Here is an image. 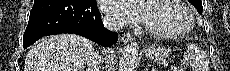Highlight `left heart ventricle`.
Listing matches in <instances>:
<instances>
[{
  "instance_id": "left-heart-ventricle-1",
  "label": "left heart ventricle",
  "mask_w": 230,
  "mask_h": 71,
  "mask_svg": "<svg viewBox=\"0 0 230 71\" xmlns=\"http://www.w3.org/2000/svg\"><path fill=\"white\" fill-rule=\"evenodd\" d=\"M145 23L158 31L173 32L187 25L184 11L171 0L144 1Z\"/></svg>"
}]
</instances>
